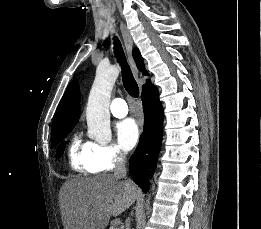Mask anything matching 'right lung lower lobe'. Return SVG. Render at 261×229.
<instances>
[{"label":"right lung lower lobe","mask_w":261,"mask_h":229,"mask_svg":"<svg viewBox=\"0 0 261 229\" xmlns=\"http://www.w3.org/2000/svg\"><path fill=\"white\" fill-rule=\"evenodd\" d=\"M141 99L145 113L144 130L135 153L131 156L129 172L133 181L143 192H147L161 148L163 110L155 86L149 84L143 88Z\"/></svg>","instance_id":"right-lung-lower-lobe-1"}]
</instances>
